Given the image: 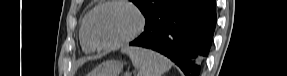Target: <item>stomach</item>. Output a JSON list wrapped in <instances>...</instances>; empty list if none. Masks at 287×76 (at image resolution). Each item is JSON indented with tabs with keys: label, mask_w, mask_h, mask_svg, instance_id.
Here are the masks:
<instances>
[{
	"label": "stomach",
	"mask_w": 287,
	"mask_h": 76,
	"mask_svg": "<svg viewBox=\"0 0 287 76\" xmlns=\"http://www.w3.org/2000/svg\"><path fill=\"white\" fill-rule=\"evenodd\" d=\"M122 68L123 65L119 61L109 60L99 65L88 76H119Z\"/></svg>",
	"instance_id": "obj_1"
}]
</instances>
